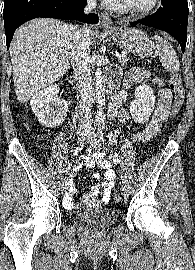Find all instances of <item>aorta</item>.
I'll use <instances>...</instances> for the list:
<instances>
[{"label":"aorta","mask_w":195,"mask_h":270,"mask_svg":"<svg viewBox=\"0 0 195 270\" xmlns=\"http://www.w3.org/2000/svg\"><path fill=\"white\" fill-rule=\"evenodd\" d=\"M106 84L105 77L102 74L101 68L98 67L95 72V101L97 104V113L99 116L103 114L105 105Z\"/></svg>","instance_id":"obj_1"}]
</instances>
